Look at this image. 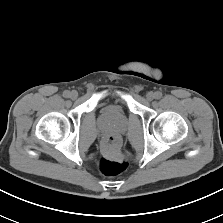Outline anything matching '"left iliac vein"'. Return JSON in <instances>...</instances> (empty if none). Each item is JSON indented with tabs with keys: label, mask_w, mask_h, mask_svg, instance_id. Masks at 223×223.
Instances as JSON below:
<instances>
[{
	"label": "left iliac vein",
	"mask_w": 223,
	"mask_h": 223,
	"mask_svg": "<svg viewBox=\"0 0 223 223\" xmlns=\"http://www.w3.org/2000/svg\"><path fill=\"white\" fill-rule=\"evenodd\" d=\"M154 98H155V94L153 92L150 91L146 94V99L148 101H152Z\"/></svg>",
	"instance_id": "4c4485c4"
}]
</instances>
